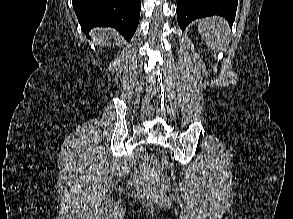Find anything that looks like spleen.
Listing matches in <instances>:
<instances>
[{
  "instance_id": "1",
  "label": "spleen",
  "mask_w": 293,
  "mask_h": 219,
  "mask_svg": "<svg viewBox=\"0 0 293 219\" xmlns=\"http://www.w3.org/2000/svg\"><path fill=\"white\" fill-rule=\"evenodd\" d=\"M198 31L206 44L213 50H220L228 35V23L222 17H208L198 24Z\"/></svg>"
}]
</instances>
